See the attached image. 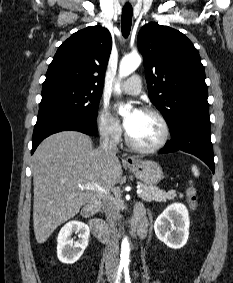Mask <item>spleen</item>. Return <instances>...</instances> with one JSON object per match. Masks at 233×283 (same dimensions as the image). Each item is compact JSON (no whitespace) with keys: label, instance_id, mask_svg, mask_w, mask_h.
Segmentation results:
<instances>
[{"label":"spleen","instance_id":"1","mask_svg":"<svg viewBox=\"0 0 233 283\" xmlns=\"http://www.w3.org/2000/svg\"><path fill=\"white\" fill-rule=\"evenodd\" d=\"M192 172L194 176H199V170L197 169L195 165L192 166Z\"/></svg>","mask_w":233,"mask_h":283}]
</instances>
